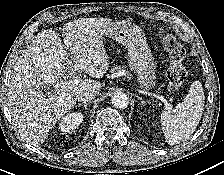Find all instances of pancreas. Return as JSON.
Segmentation results:
<instances>
[{"label": "pancreas", "mask_w": 224, "mask_h": 175, "mask_svg": "<svg viewBox=\"0 0 224 175\" xmlns=\"http://www.w3.org/2000/svg\"><path fill=\"white\" fill-rule=\"evenodd\" d=\"M111 73L116 74V73H123L127 78H131V74L123 69L121 66H113L110 70Z\"/></svg>", "instance_id": "1"}]
</instances>
